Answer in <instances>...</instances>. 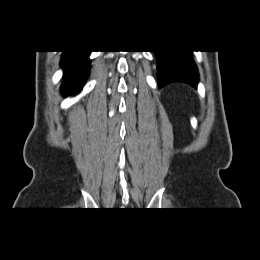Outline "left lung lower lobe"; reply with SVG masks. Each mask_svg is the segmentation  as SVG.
<instances>
[{
    "label": "left lung lower lobe",
    "mask_w": 260,
    "mask_h": 260,
    "mask_svg": "<svg viewBox=\"0 0 260 260\" xmlns=\"http://www.w3.org/2000/svg\"><path fill=\"white\" fill-rule=\"evenodd\" d=\"M154 52L158 60L157 76L160 88L171 82H183L197 87L199 74L190 50Z\"/></svg>",
    "instance_id": "0a47b994"
}]
</instances>
